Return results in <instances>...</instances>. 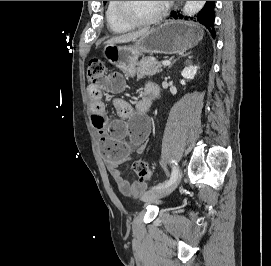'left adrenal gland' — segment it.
<instances>
[{
	"mask_svg": "<svg viewBox=\"0 0 271 266\" xmlns=\"http://www.w3.org/2000/svg\"><path fill=\"white\" fill-rule=\"evenodd\" d=\"M182 56H185V55H182ZM176 61H177V59L173 61V63L169 66V68H171L172 65H173Z\"/></svg>",
	"mask_w": 271,
	"mask_h": 266,
	"instance_id": "left-adrenal-gland-1",
	"label": "left adrenal gland"
}]
</instances>
